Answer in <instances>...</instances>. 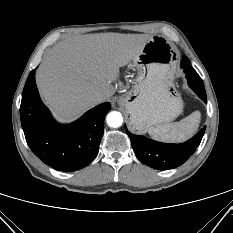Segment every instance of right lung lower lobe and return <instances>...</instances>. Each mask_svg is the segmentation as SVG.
<instances>
[{"label": "right lung lower lobe", "mask_w": 233, "mask_h": 233, "mask_svg": "<svg viewBox=\"0 0 233 233\" xmlns=\"http://www.w3.org/2000/svg\"><path fill=\"white\" fill-rule=\"evenodd\" d=\"M109 110L110 103H103L73 124H57L40 99L34 69L23 90L20 117L32 152L55 170L72 172L84 168L97 156Z\"/></svg>", "instance_id": "1"}]
</instances>
